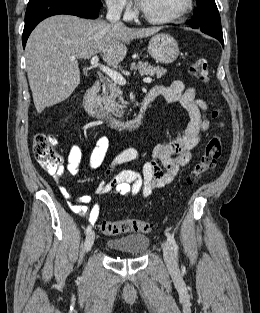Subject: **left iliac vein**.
Masks as SVG:
<instances>
[{
    "label": "left iliac vein",
    "mask_w": 260,
    "mask_h": 313,
    "mask_svg": "<svg viewBox=\"0 0 260 313\" xmlns=\"http://www.w3.org/2000/svg\"><path fill=\"white\" fill-rule=\"evenodd\" d=\"M163 255L166 265L171 269H175L177 265L173 256V249L168 242L163 243Z\"/></svg>",
    "instance_id": "1"
}]
</instances>
